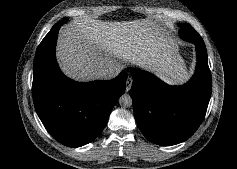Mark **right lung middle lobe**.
<instances>
[{"label":"right lung middle lobe","instance_id":"1","mask_svg":"<svg viewBox=\"0 0 237 169\" xmlns=\"http://www.w3.org/2000/svg\"><path fill=\"white\" fill-rule=\"evenodd\" d=\"M65 22H67V19H64V20H60L57 24H55L53 26V28L51 30H56V29H59L61 25H63Z\"/></svg>","mask_w":237,"mask_h":169}]
</instances>
